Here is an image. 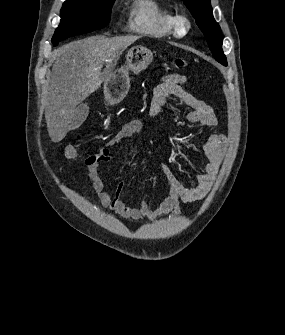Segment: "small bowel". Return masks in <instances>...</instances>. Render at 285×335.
I'll list each match as a JSON object with an SVG mask.
<instances>
[{
    "instance_id": "c3829d8e",
    "label": "small bowel",
    "mask_w": 285,
    "mask_h": 335,
    "mask_svg": "<svg viewBox=\"0 0 285 335\" xmlns=\"http://www.w3.org/2000/svg\"><path fill=\"white\" fill-rule=\"evenodd\" d=\"M185 81V77L179 74L165 76L153 90L150 115L153 118L159 117L168 101L171 98H176L188 108L183 115L188 124L215 127L217 118L212 108L188 93L183 87ZM143 130L144 123L142 121L138 119L130 120L107 141L97 154L86 159L85 164L90 186L103 207L109 208L113 213L125 219L139 220L146 218L153 220L159 216L177 215L180 213V202L194 203L204 198L210 191L224 157L227 145L226 137L222 134L209 136L203 148L206 157L203 173L196 176L191 187L181 183L168 166L161 163L160 168L169 184V195L156 210H152L146 201H140L137 207L130 206L129 202L122 197L125 186L123 182L117 185L114 193L107 192L104 182L98 175L100 165L114 159L111 148Z\"/></svg>"
}]
</instances>
